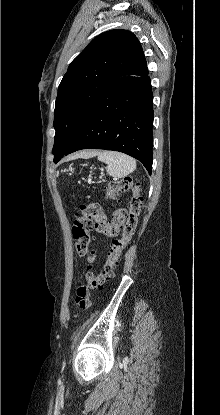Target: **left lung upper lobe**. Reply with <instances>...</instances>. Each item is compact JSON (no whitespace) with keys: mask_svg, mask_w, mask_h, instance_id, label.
I'll list each match as a JSON object with an SVG mask.
<instances>
[{"mask_svg":"<svg viewBox=\"0 0 220 415\" xmlns=\"http://www.w3.org/2000/svg\"><path fill=\"white\" fill-rule=\"evenodd\" d=\"M137 37L110 30L95 37L71 62L59 88L54 111V156L70 147L91 110L116 79L146 67Z\"/></svg>","mask_w":220,"mask_h":415,"instance_id":"5c2ea615","label":"left lung upper lobe"}]
</instances>
